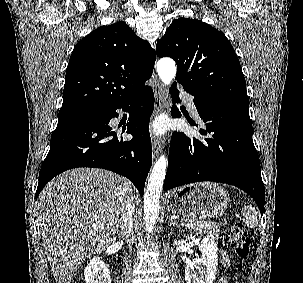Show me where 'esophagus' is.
<instances>
[{
    "instance_id": "obj_1",
    "label": "esophagus",
    "mask_w": 303,
    "mask_h": 283,
    "mask_svg": "<svg viewBox=\"0 0 303 283\" xmlns=\"http://www.w3.org/2000/svg\"><path fill=\"white\" fill-rule=\"evenodd\" d=\"M153 91L155 95L154 113L157 114L159 111L162 110L164 106L165 92L162 84L156 77H155V83L153 85ZM152 150L154 157H157L161 152V139L156 137L155 135L152 136Z\"/></svg>"
}]
</instances>
